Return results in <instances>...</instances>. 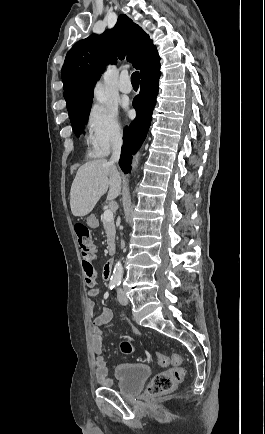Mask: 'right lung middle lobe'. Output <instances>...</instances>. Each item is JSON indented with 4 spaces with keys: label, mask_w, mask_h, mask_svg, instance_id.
<instances>
[{
    "label": "right lung middle lobe",
    "mask_w": 265,
    "mask_h": 434,
    "mask_svg": "<svg viewBox=\"0 0 265 434\" xmlns=\"http://www.w3.org/2000/svg\"><path fill=\"white\" fill-rule=\"evenodd\" d=\"M92 94L80 100L67 103V109L72 127L77 135L84 128L88 121V115L91 108Z\"/></svg>",
    "instance_id": "dd1d6c3e"
}]
</instances>
